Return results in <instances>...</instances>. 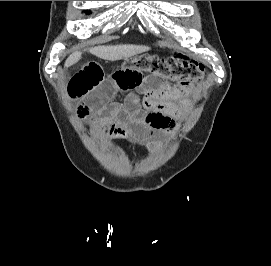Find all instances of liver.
Masks as SVG:
<instances>
[{
	"label": "liver",
	"instance_id": "obj_1",
	"mask_svg": "<svg viewBox=\"0 0 271 266\" xmlns=\"http://www.w3.org/2000/svg\"><path fill=\"white\" fill-rule=\"evenodd\" d=\"M149 50L147 46L136 45H117V46H97L90 49V53L98 58L110 61L121 60L123 58H130L137 54ZM81 58V52L71 54L65 61L64 67L68 68L77 63Z\"/></svg>",
	"mask_w": 271,
	"mask_h": 266
}]
</instances>
